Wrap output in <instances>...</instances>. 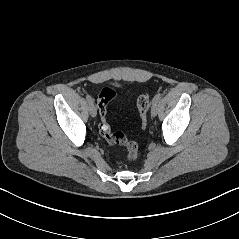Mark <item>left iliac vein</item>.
<instances>
[{"label":"left iliac vein","instance_id":"obj_1","mask_svg":"<svg viewBox=\"0 0 239 239\" xmlns=\"http://www.w3.org/2000/svg\"><path fill=\"white\" fill-rule=\"evenodd\" d=\"M157 111H158L157 103H152L150 110L151 116L155 117L157 115Z\"/></svg>","mask_w":239,"mask_h":239}]
</instances>
